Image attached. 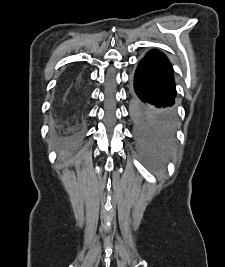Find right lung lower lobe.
<instances>
[{
  "mask_svg": "<svg viewBox=\"0 0 225 267\" xmlns=\"http://www.w3.org/2000/svg\"><path fill=\"white\" fill-rule=\"evenodd\" d=\"M84 78L85 77L82 72L74 71L65 78L63 82L64 87L71 92L79 86V84L84 80Z\"/></svg>",
  "mask_w": 225,
  "mask_h": 267,
  "instance_id": "98d812e1",
  "label": "right lung lower lobe"
}]
</instances>
